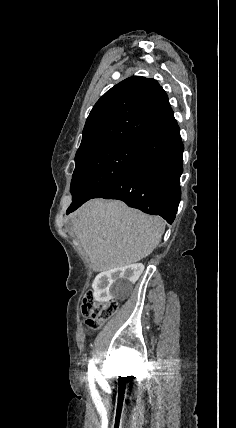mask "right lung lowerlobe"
Masks as SVG:
<instances>
[{"label":"right lung lower lobe","instance_id":"1","mask_svg":"<svg viewBox=\"0 0 236 428\" xmlns=\"http://www.w3.org/2000/svg\"><path fill=\"white\" fill-rule=\"evenodd\" d=\"M139 141L138 152L127 168L94 198L122 200L171 224L181 200L184 149L174 116Z\"/></svg>","mask_w":236,"mask_h":428}]
</instances>
